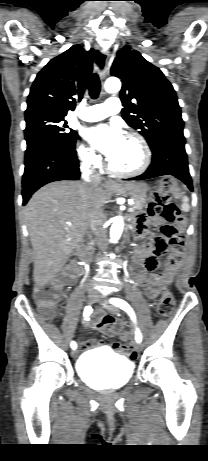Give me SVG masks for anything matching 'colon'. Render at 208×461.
<instances>
[{"label":"colon","instance_id":"obj_1","mask_svg":"<svg viewBox=\"0 0 208 461\" xmlns=\"http://www.w3.org/2000/svg\"><path fill=\"white\" fill-rule=\"evenodd\" d=\"M177 189V182L173 178H163L160 181L158 187L152 192V200L148 207L152 218L167 223L183 222L184 219L181 216L177 205L171 200L172 195L177 191ZM61 286L62 281L57 280L37 286L34 290V300L42 313L48 317L52 318L55 315ZM174 307L175 300L172 293L168 290H164L158 301V314L167 318L173 313ZM121 345L123 347V352L130 360H136L138 358L137 349L131 347L130 343L121 342Z\"/></svg>","mask_w":208,"mask_h":461}]
</instances>
